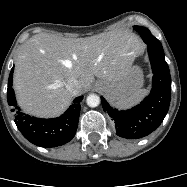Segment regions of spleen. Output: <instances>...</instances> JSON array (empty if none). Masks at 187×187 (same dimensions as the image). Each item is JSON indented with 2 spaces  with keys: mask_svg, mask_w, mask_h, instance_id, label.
<instances>
[{
  "mask_svg": "<svg viewBox=\"0 0 187 187\" xmlns=\"http://www.w3.org/2000/svg\"><path fill=\"white\" fill-rule=\"evenodd\" d=\"M147 94H148V89H140V90L136 91L130 97L116 102V105L120 109L130 108V107L136 105L137 103H139Z\"/></svg>",
  "mask_w": 187,
  "mask_h": 187,
  "instance_id": "spleen-1",
  "label": "spleen"
}]
</instances>
